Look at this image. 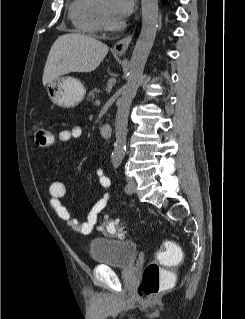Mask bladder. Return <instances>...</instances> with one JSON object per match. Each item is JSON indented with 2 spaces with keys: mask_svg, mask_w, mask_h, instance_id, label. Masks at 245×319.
<instances>
[{
  "mask_svg": "<svg viewBox=\"0 0 245 319\" xmlns=\"http://www.w3.org/2000/svg\"><path fill=\"white\" fill-rule=\"evenodd\" d=\"M137 253L138 246L131 241L97 238L89 243V254L96 264L128 268L134 264Z\"/></svg>",
  "mask_w": 245,
  "mask_h": 319,
  "instance_id": "bladder-1",
  "label": "bladder"
}]
</instances>
